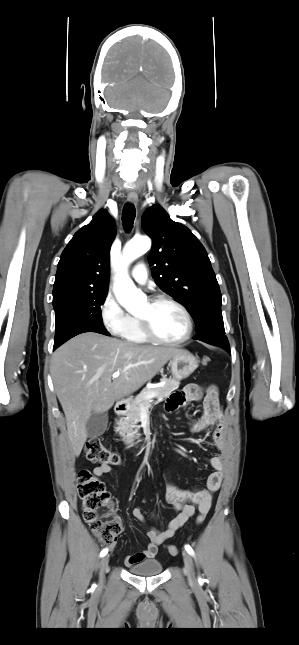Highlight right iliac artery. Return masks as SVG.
<instances>
[{"instance_id":"obj_1","label":"right iliac artery","mask_w":299,"mask_h":645,"mask_svg":"<svg viewBox=\"0 0 299 645\" xmlns=\"http://www.w3.org/2000/svg\"><path fill=\"white\" fill-rule=\"evenodd\" d=\"M107 553H108V549H107V548H105V549H103V550L101 551L100 556H101V557H103V556H105Z\"/></svg>"}]
</instances>
